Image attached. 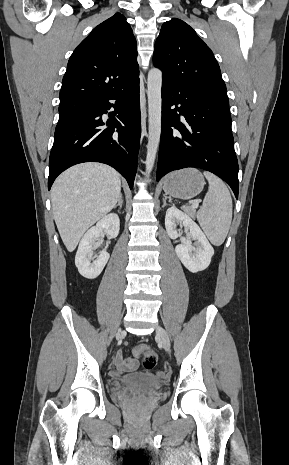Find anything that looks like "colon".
Returning <instances> with one entry per match:
<instances>
[{
	"instance_id": "colon-1",
	"label": "colon",
	"mask_w": 289,
	"mask_h": 465,
	"mask_svg": "<svg viewBox=\"0 0 289 465\" xmlns=\"http://www.w3.org/2000/svg\"><path fill=\"white\" fill-rule=\"evenodd\" d=\"M133 352L134 354L140 355L143 357L142 363L145 369H152L155 366L156 360H157L156 354L147 345H144V344L136 345L133 348Z\"/></svg>"
}]
</instances>
